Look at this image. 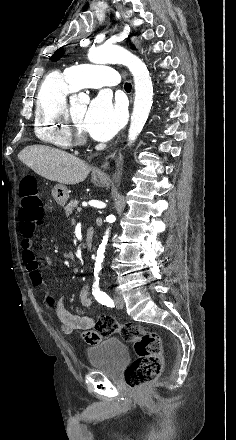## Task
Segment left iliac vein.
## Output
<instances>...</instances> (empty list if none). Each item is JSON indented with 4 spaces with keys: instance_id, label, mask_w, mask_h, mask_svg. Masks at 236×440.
<instances>
[{
    "instance_id": "1",
    "label": "left iliac vein",
    "mask_w": 236,
    "mask_h": 440,
    "mask_svg": "<svg viewBox=\"0 0 236 440\" xmlns=\"http://www.w3.org/2000/svg\"><path fill=\"white\" fill-rule=\"evenodd\" d=\"M114 303H115V306L117 307V308H123L124 307V300H123V298L121 297V296H115L114 297Z\"/></svg>"
}]
</instances>
